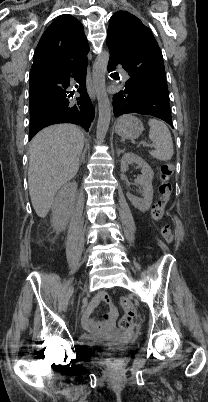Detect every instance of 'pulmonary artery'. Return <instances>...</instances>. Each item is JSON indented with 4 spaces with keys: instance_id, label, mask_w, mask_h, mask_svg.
Listing matches in <instances>:
<instances>
[{
    "instance_id": "1",
    "label": "pulmonary artery",
    "mask_w": 208,
    "mask_h": 402,
    "mask_svg": "<svg viewBox=\"0 0 208 402\" xmlns=\"http://www.w3.org/2000/svg\"><path fill=\"white\" fill-rule=\"evenodd\" d=\"M118 70H119L120 72H122V73L125 72V70H124L121 66L118 67Z\"/></svg>"
}]
</instances>
